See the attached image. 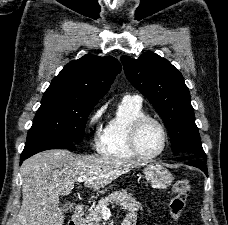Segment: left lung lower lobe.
<instances>
[{
	"instance_id": "1",
	"label": "left lung lower lobe",
	"mask_w": 228,
	"mask_h": 225,
	"mask_svg": "<svg viewBox=\"0 0 228 225\" xmlns=\"http://www.w3.org/2000/svg\"><path fill=\"white\" fill-rule=\"evenodd\" d=\"M185 164L201 169L206 174V176H208V170H207V167L205 166L203 160L194 159L189 162H186Z\"/></svg>"
}]
</instances>
